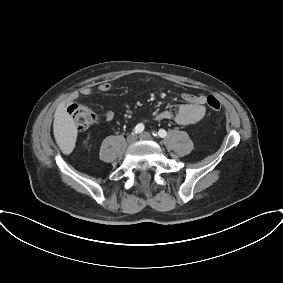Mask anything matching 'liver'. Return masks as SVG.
<instances>
[{"mask_svg": "<svg viewBox=\"0 0 283 283\" xmlns=\"http://www.w3.org/2000/svg\"><path fill=\"white\" fill-rule=\"evenodd\" d=\"M53 131L56 143L64 154H70L77 138V127L67 112L64 103H61L54 114Z\"/></svg>", "mask_w": 283, "mask_h": 283, "instance_id": "1", "label": "liver"}]
</instances>
